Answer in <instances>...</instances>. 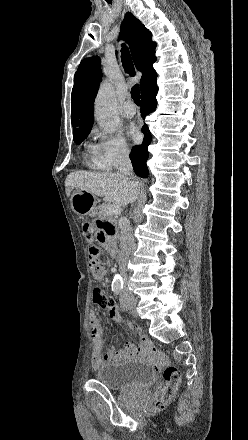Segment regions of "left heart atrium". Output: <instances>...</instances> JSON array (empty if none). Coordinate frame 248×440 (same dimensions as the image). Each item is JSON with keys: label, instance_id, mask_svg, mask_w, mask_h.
<instances>
[{"label": "left heart atrium", "instance_id": "obj_1", "mask_svg": "<svg viewBox=\"0 0 248 440\" xmlns=\"http://www.w3.org/2000/svg\"><path fill=\"white\" fill-rule=\"evenodd\" d=\"M128 133L133 141L138 142L140 140V133L136 126L131 125Z\"/></svg>", "mask_w": 248, "mask_h": 440}]
</instances>
